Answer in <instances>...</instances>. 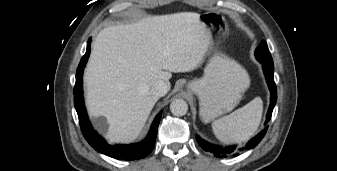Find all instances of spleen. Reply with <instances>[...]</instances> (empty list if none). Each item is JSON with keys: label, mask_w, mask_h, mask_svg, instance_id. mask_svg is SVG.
Masks as SVG:
<instances>
[{"label": "spleen", "mask_w": 337, "mask_h": 171, "mask_svg": "<svg viewBox=\"0 0 337 171\" xmlns=\"http://www.w3.org/2000/svg\"><path fill=\"white\" fill-rule=\"evenodd\" d=\"M263 112L260 97L254 98L243 107L212 123L213 133L225 144L248 140L258 129Z\"/></svg>", "instance_id": "obj_1"}]
</instances>
